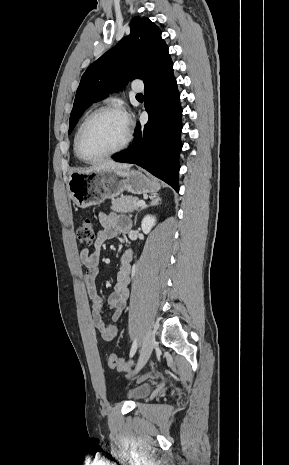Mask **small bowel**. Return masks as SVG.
Listing matches in <instances>:
<instances>
[{"label": "small bowel", "instance_id": "small-bowel-1", "mask_svg": "<svg viewBox=\"0 0 289 465\" xmlns=\"http://www.w3.org/2000/svg\"><path fill=\"white\" fill-rule=\"evenodd\" d=\"M98 219L102 228L97 232L94 251L90 252L88 248H83L80 251V260L85 267L82 279L87 294L92 300L93 324L102 338L110 342L117 335L116 322L125 308L129 295L132 252L126 250L120 258L114 291L107 300V305L112 311L110 321H106L104 318L106 306L103 303L96 284L99 274L100 253L106 241L113 239L119 233L128 232L131 228V222L126 217L114 212H100Z\"/></svg>", "mask_w": 289, "mask_h": 465}]
</instances>
